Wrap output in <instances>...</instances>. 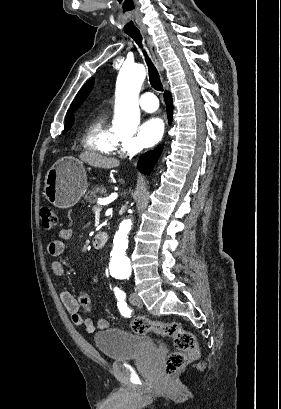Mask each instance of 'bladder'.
<instances>
[{"label":"bladder","instance_id":"bladder-1","mask_svg":"<svg viewBox=\"0 0 281 409\" xmlns=\"http://www.w3.org/2000/svg\"><path fill=\"white\" fill-rule=\"evenodd\" d=\"M92 343L108 361L127 362L134 355H156L158 343L145 333H132L124 328L106 327L92 337Z\"/></svg>","mask_w":281,"mask_h":409}]
</instances>
